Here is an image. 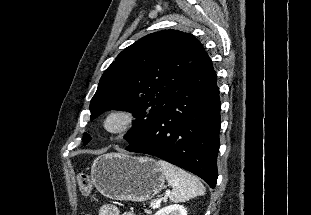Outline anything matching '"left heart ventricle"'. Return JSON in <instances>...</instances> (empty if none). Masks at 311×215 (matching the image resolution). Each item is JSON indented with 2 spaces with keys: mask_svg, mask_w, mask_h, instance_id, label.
I'll use <instances>...</instances> for the list:
<instances>
[{
  "mask_svg": "<svg viewBox=\"0 0 311 215\" xmlns=\"http://www.w3.org/2000/svg\"><path fill=\"white\" fill-rule=\"evenodd\" d=\"M117 124V121L116 120H112L111 122H110V125L111 126H114V125H116Z\"/></svg>",
  "mask_w": 311,
  "mask_h": 215,
  "instance_id": "b2bd125f",
  "label": "left heart ventricle"
}]
</instances>
